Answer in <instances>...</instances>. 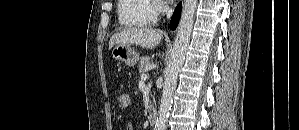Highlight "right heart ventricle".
I'll return each mask as SVG.
<instances>
[{
	"mask_svg": "<svg viewBox=\"0 0 299 130\" xmlns=\"http://www.w3.org/2000/svg\"><path fill=\"white\" fill-rule=\"evenodd\" d=\"M118 19L123 27L143 28L157 22V8L153 0H120Z\"/></svg>",
	"mask_w": 299,
	"mask_h": 130,
	"instance_id": "obj_1",
	"label": "right heart ventricle"
}]
</instances>
